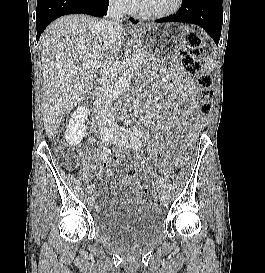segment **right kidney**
I'll return each mask as SVG.
<instances>
[{"mask_svg":"<svg viewBox=\"0 0 265 273\" xmlns=\"http://www.w3.org/2000/svg\"><path fill=\"white\" fill-rule=\"evenodd\" d=\"M87 116L88 110L83 106L78 107L71 115L65 132V138L69 145L75 146L83 140L86 131L85 120Z\"/></svg>","mask_w":265,"mask_h":273,"instance_id":"right-kidney-1","label":"right kidney"}]
</instances>
